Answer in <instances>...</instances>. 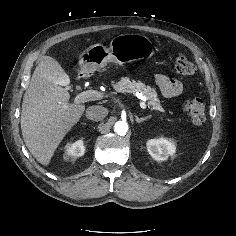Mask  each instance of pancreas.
Returning <instances> with one entry per match:
<instances>
[{"label": "pancreas", "mask_w": 236, "mask_h": 236, "mask_svg": "<svg viewBox=\"0 0 236 236\" xmlns=\"http://www.w3.org/2000/svg\"><path fill=\"white\" fill-rule=\"evenodd\" d=\"M113 88L116 92L142 93L146 97L147 104L152 111L164 112L156 91L140 81H130L129 78L123 77L120 81L113 84Z\"/></svg>", "instance_id": "obj_1"}]
</instances>
